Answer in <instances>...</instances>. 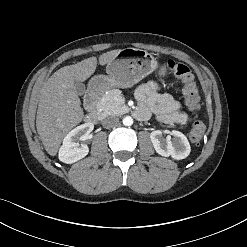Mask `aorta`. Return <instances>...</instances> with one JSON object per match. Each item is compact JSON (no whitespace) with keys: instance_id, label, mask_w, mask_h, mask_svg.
Listing matches in <instances>:
<instances>
[{"instance_id":"aorta-1","label":"aorta","mask_w":247,"mask_h":247,"mask_svg":"<svg viewBox=\"0 0 247 247\" xmlns=\"http://www.w3.org/2000/svg\"><path fill=\"white\" fill-rule=\"evenodd\" d=\"M123 124L125 126H131L133 124V119L130 116H126L123 118Z\"/></svg>"}]
</instances>
